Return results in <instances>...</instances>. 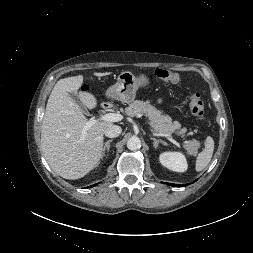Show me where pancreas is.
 I'll list each match as a JSON object with an SVG mask.
<instances>
[{
    "label": "pancreas",
    "mask_w": 253,
    "mask_h": 253,
    "mask_svg": "<svg viewBox=\"0 0 253 253\" xmlns=\"http://www.w3.org/2000/svg\"><path fill=\"white\" fill-rule=\"evenodd\" d=\"M125 113L128 116L134 117L140 114L146 115L151 124L155 127V130L161 134H171L180 127L178 122H172L168 115L162 113V111L156 109L150 102L133 101L125 109ZM200 146L199 141L191 140L187 141L184 145L188 154L195 155Z\"/></svg>",
    "instance_id": "obj_1"
}]
</instances>
